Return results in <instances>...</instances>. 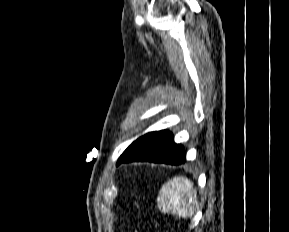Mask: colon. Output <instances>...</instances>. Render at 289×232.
<instances>
[{"label": "colon", "instance_id": "1", "mask_svg": "<svg viewBox=\"0 0 289 232\" xmlns=\"http://www.w3.org/2000/svg\"><path fill=\"white\" fill-rule=\"evenodd\" d=\"M134 232H139L138 230H135Z\"/></svg>", "mask_w": 289, "mask_h": 232}]
</instances>
